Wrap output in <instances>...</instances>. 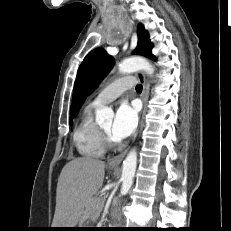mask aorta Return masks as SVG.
<instances>
[{
	"label": "aorta",
	"instance_id": "aorta-1",
	"mask_svg": "<svg viewBox=\"0 0 231 231\" xmlns=\"http://www.w3.org/2000/svg\"><path fill=\"white\" fill-rule=\"evenodd\" d=\"M120 73H132L138 70H144L148 75L154 73L153 67L149 62L142 57H133L123 60L118 66ZM113 118V111L107 107H103L96 111V121L103 122L104 120H111ZM137 167V152L132 149L122 166V186L121 193H127L133 184V178Z\"/></svg>",
	"mask_w": 231,
	"mask_h": 231
}]
</instances>
